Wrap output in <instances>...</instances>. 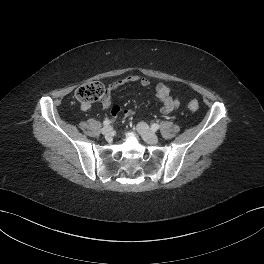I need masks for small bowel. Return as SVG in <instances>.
Listing matches in <instances>:
<instances>
[{
	"label": "small bowel",
	"mask_w": 264,
	"mask_h": 264,
	"mask_svg": "<svg viewBox=\"0 0 264 264\" xmlns=\"http://www.w3.org/2000/svg\"><path fill=\"white\" fill-rule=\"evenodd\" d=\"M137 82L141 87L146 88L149 86L150 82L148 79L139 77L136 75H130L125 78L116 80L108 85V93L102 100V106L104 108H109L111 106V98L109 95L110 91L116 90L124 85H127L129 83ZM156 96L161 102V113L163 114H169L176 110L180 105V100L176 97H174L171 93V90L168 86H166L163 83L157 84L156 88ZM91 108V105H82L83 110H89ZM121 114H128V111L123 110L120 106L115 105L111 108V115L112 116H119Z\"/></svg>",
	"instance_id": "small-bowel-1"
}]
</instances>
